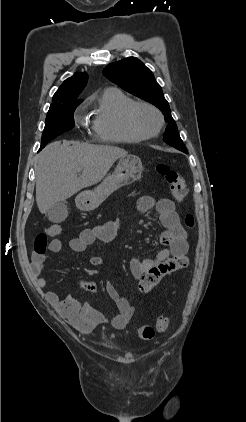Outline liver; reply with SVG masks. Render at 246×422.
<instances>
[{
    "label": "liver",
    "instance_id": "6515ba94",
    "mask_svg": "<svg viewBox=\"0 0 246 422\" xmlns=\"http://www.w3.org/2000/svg\"><path fill=\"white\" fill-rule=\"evenodd\" d=\"M127 156L121 148L88 143L55 141L38 155L36 202L44 214L83 188L100 182L114 162ZM82 174L77 177V173Z\"/></svg>",
    "mask_w": 246,
    "mask_h": 422
}]
</instances>
